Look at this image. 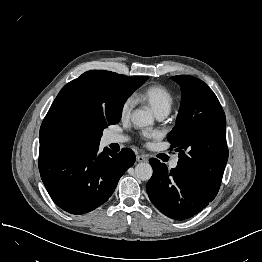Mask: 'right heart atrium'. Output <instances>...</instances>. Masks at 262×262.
Returning <instances> with one entry per match:
<instances>
[{
  "label": "right heart atrium",
  "instance_id": "d8ad5b80",
  "mask_svg": "<svg viewBox=\"0 0 262 262\" xmlns=\"http://www.w3.org/2000/svg\"><path fill=\"white\" fill-rule=\"evenodd\" d=\"M134 98L133 97H127L122 105H121V108H120V116L125 119V118H128L131 114V111L133 109V106H134Z\"/></svg>",
  "mask_w": 262,
  "mask_h": 262
}]
</instances>
